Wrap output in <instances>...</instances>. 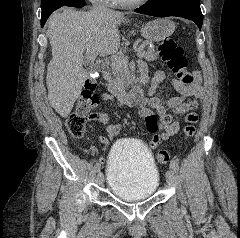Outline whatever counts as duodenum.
<instances>
[{"mask_svg": "<svg viewBox=\"0 0 240 238\" xmlns=\"http://www.w3.org/2000/svg\"><path fill=\"white\" fill-rule=\"evenodd\" d=\"M102 74L108 82L110 92L122 103L130 106L138 105L144 97L142 86L147 81V75L141 73L139 84L131 86L129 89L115 84L106 69H102Z\"/></svg>", "mask_w": 240, "mask_h": 238, "instance_id": "1", "label": "duodenum"}]
</instances>
